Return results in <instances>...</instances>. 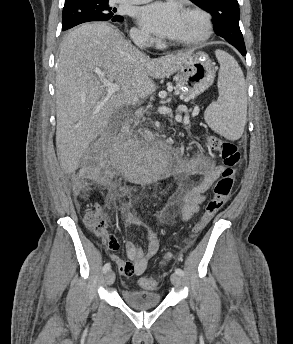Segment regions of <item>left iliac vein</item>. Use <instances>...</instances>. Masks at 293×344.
I'll use <instances>...</instances> for the list:
<instances>
[{
	"label": "left iliac vein",
	"instance_id": "obj_1",
	"mask_svg": "<svg viewBox=\"0 0 293 344\" xmlns=\"http://www.w3.org/2000/svg\"><path fill=\"white\" fill-rule=\"evenodd\" d=\"M170 281L175 287H180L182 284L181 276L177 275L176 273L171 274Z\"/></svg>",
	"mask_w": 293,
	"mask_h": 344
}]
</instances>
